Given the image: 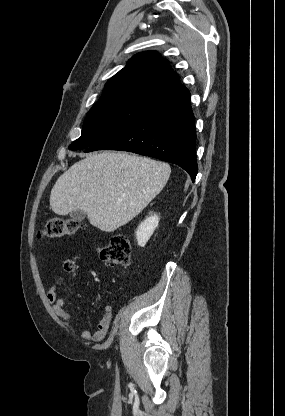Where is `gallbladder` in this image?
<instances>
[{
	"label": "gallbladder",
	"instance_id": "obj_1",
	"mask_svg": "<svg viewBox=\"0 0 285 416\" xmlns=\"http://www.w3.org/2000/svg\"><path fill=\"white\" fill-rule=\"evenodd\" d=\"M71 218L75 220V222H82L84 218H86L85 212H81V210H75V212H70Z\"/></svg>",
	"mask_w": 285,
	"mask_h": 416
}]
</instances>
